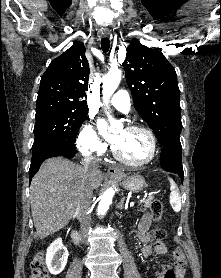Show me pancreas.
I'll return each instance as SVG.
<instances>
[{
    "mask_svg": "<svg viewBox=\"0 0 221 278\" xmlns=\"http://www.w3.org/2000/svg\"><path fill=\"white\" fill-rule=\"evenodd\" d=\"M151 205H152V198L149 197V198L144 202V204L140 206L139 211H140V212H144V211H146L148 208H150Z\"/></svg>",
    "mask_w": 221,
    "mask_h": 278,
    "instance_id": "pancreas-1",
    "label": "pancreas"
}]
</instances>
